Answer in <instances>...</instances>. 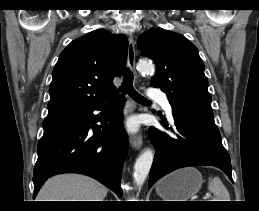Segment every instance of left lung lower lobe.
I'll return each mask as SVG.
<instances>
[{"label":"left lung lower lobe","mask_w":259,"mask_h":211,"mask_svg":"<svg viewBox=\"0 0 259 211\" xmlns=\"http://www.w3.org/2000/svg\"><path fill=\"white\" fill-rule=\"evenodd\" d=\"M175 129L164 128L173 136L151 127L149 137L156 154L148 186L166 174L183 167L210 165L222 169L232 180L230 157L222 145L219 130L212 116L188 110L172 109Z\"/></svg>","instance_id":"obj_1"}]
</instances>
